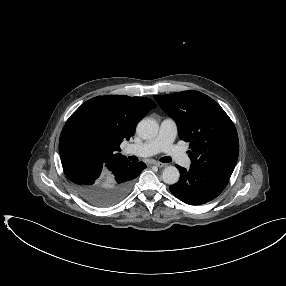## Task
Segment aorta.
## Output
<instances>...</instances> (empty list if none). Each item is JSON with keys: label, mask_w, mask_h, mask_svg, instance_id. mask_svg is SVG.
Masks as SVG:
<instances>
[{"label": "aorta", "mask_w": 286, "mask_h": 286, "mask_svg": "<svg viewBox=\"0 0 286 286\" xmlns=\"http://www.w3.org/2000/svg\"><path fill=\"white\" fill-rule=\"evenodd\" d=\"M158 123L152 118H143L137 125V134L142 139L154 138L158 133ZM180 173L175 166H167L162 172L164 183L173 185L179 181Z\"/></svg>", "instance_id": "aorta-1"}]
</instances>
